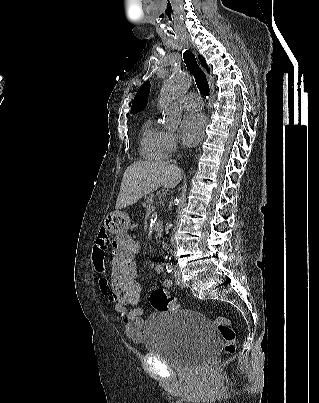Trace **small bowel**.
<instances>
[{"label": "small bowel", "instance_id": "obj_1", "mask_svg": "<svg viewBox=\"0 0 319 403\" xmlns=\"http://www.w3.org/2000/svg\"><path fill=\"white\" fill-rule=\"evenodd\" d=\"M108 244H109L108 233L105 229H101L98 233V237L92 252L93 263L99 274L102 275L100 279V288L105 298L108 300L109 303L114 305L115 311L120 315L122 320H124V330L126 335L133 342H140L143 338L142 334L143 322L140 317L142 313H126L125 304H116V301L113 300L112 297L113 273L108 272V254H107ZM155 271L156 273L163 272L162 263H157L155 265ZM134 273H135L134 278H136L137 268H134ZM162 284L165 288H170L172 286V282L168 279L164 280ZM139 294L141 298L142 289L141 291H139Z\"/></svg>", "mask_w": 319, "mask_h": 403}]
</instances>
